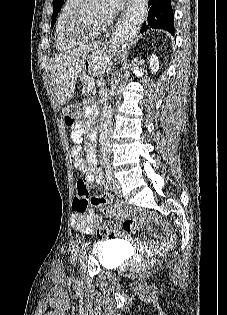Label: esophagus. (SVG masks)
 Masks as SVG:
<instances>
[{"label":"esophagus","mask_w":227,"mask_h":315,"mask_svg":"<svg viewBox=\"0 0 227 315\" xmlns=\"http://www.w3.org/2000/svg\"><path fill=\"white\" fill-rule=\"evenodd\" d=\"M129 10H131V5H130V3H129V5H128L126 11L123 13V15H122V17H121L122 20L125 18V16H126L127 13L129 12ZM121 19H120V21H121ZM120 21H118L116 27L112 30V33L107 36V37H108L107 40H111V38L113 39V38L115 37V34H116V32H117V26H118V24L120 23Z\"/></svg>","instance_id":"obj_1"}]
</instances>
